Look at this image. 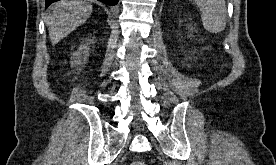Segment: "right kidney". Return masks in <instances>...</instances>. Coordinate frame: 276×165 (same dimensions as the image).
I'll return each mask as SVG.
<instances>
[{
  "instance_id": "obj_1",
  "label": "right kidney",
  "mask_w": 276,
  "mask_h": 165,
  "mask_svg": "<svg viewBox=\"0 0 276 165\" xmlns=\"http://www.w3.org/2000/svg\"><path fill=\"white\" fill-rule=\"evenodd\" d=\"M89 50L88 44H81L78 50L72 54L71 66L81 71V67L86 64Z\"/></svg>"
}]
</instances>
